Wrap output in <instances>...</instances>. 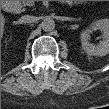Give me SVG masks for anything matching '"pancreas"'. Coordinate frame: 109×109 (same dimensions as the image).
Segmentation results:
<instances>
[{
  "instance_id": "pancreas-1",
  "label": "pancreas",
  "mask_w": 109,
  "mask_h": 109,
  "mask_svg": "<svg viewBox=\"0 0 109 109\" xmlns=\"http://www.w3.org/2000/svg\"><path fill=\"white\" fill-rule=\"evenodd\" d=\"M22 4L24 6H33L34 5V2L33 1H22Z\"/></svg>"
}]
</instances>
